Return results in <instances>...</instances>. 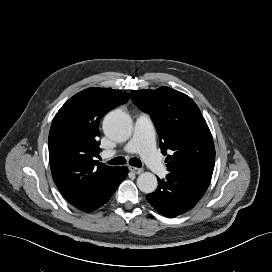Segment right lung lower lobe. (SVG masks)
<instances>
[{
  "mask_svg": "<svg viewBox=\"0 0 272 272\" xmlns=\"http://www.w3.org/2000/svg\"><path fill=\"white\" fill-rule=\"evenodd\" d=\"M128 170L127 167H120L118 174L105 186L103 187L98 193H96L91 198L72 204L77 209L84 211V212H91L95 209L101 207L105 204L111 196L116 191L119 184L125 179L127 176Z\"/></svg>",
  "mask_w": 272,
  "mask_h": 272,
  "instance_id": "1",
  "label": "right lung lower lobe"
}]
</instances>
